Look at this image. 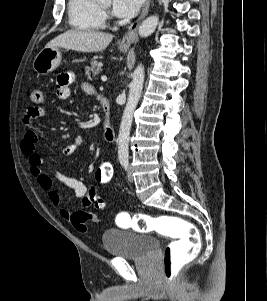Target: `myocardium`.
<instances>
[{
  "label": "myocardium",
  "instance_id": "1",
  "mask_svg": "<svg viewBox=\"0 0 267 301\" xmlns=\"http://www.w3.org/2000/svg\"><path fill=\"white\" fill-rule=\"evenodd\" d=\"M98 4H99V8L101 9L103 15H107V14H108V9L105 8V7H103V6L100 4V2H98Z\"/></svg>",
  "mask_w": 267,
  "mask_h": 301
}]
</instances>
